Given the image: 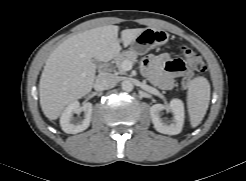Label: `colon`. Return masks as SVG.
<instances>
[{
  "mask_svg": "<svg viewBox=\"0 0 246 181\" xmlns=\"http://www.w3.org/2000/svg\"><path fill=\"white\" fill-rule=\"evenodd\" d=\"M181 52L184 56L185 65L188 70V72L182 78V86L184 88H187L191 84L193 73L203 72L205 70V63L202 60L201 56L189 47L183 46L181 48Z\"/></svg>",
  "mask_w": 246,
  "mask_h": 181,
  "instance_id": "5ec220e1",
  "label": "colon"
}]
</instances>
